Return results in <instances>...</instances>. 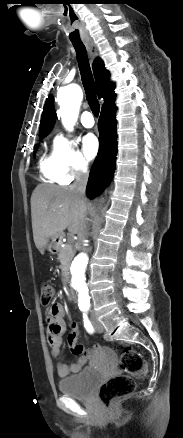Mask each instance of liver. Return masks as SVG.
Wrapping results in <instances>:
<instances>
[{"label": "liver", "instance_id": "liver-1", "mask_svg": "<svg viewBox=\"0 0 183 438\" xmlns=\"http://www.w3.org/2000/svg\"><path fill=\"white\" fill-rule=\"evenodd\" d=\"M87 201L70 188L38 185L31 196L33 239L41 253L52 237L80 234L86 226Z\"/></svg>", "mask_w": 183, "mask_h": 438}]
</instances>
